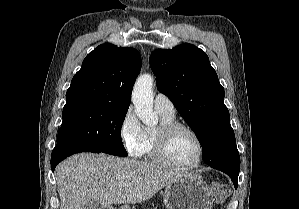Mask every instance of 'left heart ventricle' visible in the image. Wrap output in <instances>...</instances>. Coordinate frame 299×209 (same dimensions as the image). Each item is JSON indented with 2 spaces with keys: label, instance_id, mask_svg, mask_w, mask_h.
I'll list each match as a JSON object with an SVG mask.
<instances>
[{
  "label": "left heart ventricle",
  "instance_id": "left-heart-ventricle-1",
  "mask_svg": "<svg viewBox=\"0 0 299 209\" xmlns=\"http://www.w3.org/2000/svg\"><path fill=\"white\" fill-rule=\"evenodd\" d=\"M199 148L191 134L186 131L175 133L170 140L169 156L181 165L194 163L198 157Z\"/></svg>",
  "mask_w": 299,
  "mask_h": 209
}]
</instances>
